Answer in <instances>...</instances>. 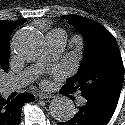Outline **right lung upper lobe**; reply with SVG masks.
<instances>
[{"label":"right lung upper lobe","mask_w":125,"mask_h":125,"mask_svg":"<svg viewBox=\"0 0 125 125\" xmlns=\"http://www.w3.org/2000/svg\"><path fill=\"white\" fill-rule=\"evenodd\" d=\"M25 22L24 19L17 21L0 20V46L8 44L10 46V36L12 32Z\"/></svg>","instance_id":"obj_1"}]
</instances>
